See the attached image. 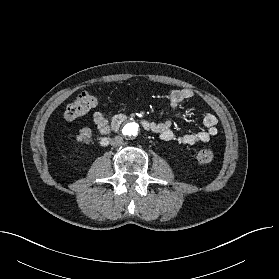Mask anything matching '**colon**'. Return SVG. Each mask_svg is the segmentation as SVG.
Listing matches in <instances>:
<instances>
[{
  "label": "colon",
  "mask_w": 279,
  "mask_h": 279,
  "mask_svg": "<svg viewBox=\"0 0 279 279\" xmlns=\"http://www.w3.org/2000/svg\"><path fill=\"white\" fill-rule=\"evenodd\" d=\"M96 104V96L83 92L67 105L64 116L67 120L77 119L88 113ZM92 138L93 134L89 128H82L76 134V141L81 144L91 143ZM196 157L200 163H209L214 159V153L208 146H204L197 152Z\"/></svg>",
  "instance_id": "colon-1"
}]
</instances>
